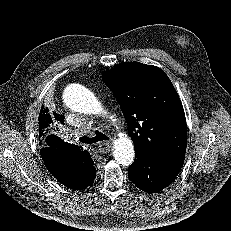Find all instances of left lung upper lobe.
I'll return each instance as SVG.
<instances>
[{
  "label": "left lung upper lobe",
  "instance_id": "5c2ea615",
  "mask_svg": "<svg viewBox=\"0 0 231 231\" xmlns=\"http://www.w3.org/2000/svg\"><path fill=\"white\" fill-rule=\"evenodd\" d=\"M121 106L135 151L167 160L184 159L187 145L185 113L168 76L139 62L120 63L102 74Z\"/></svg>",
  "mask_w": 231,
  "mask_h": 231
}]
</instances>
